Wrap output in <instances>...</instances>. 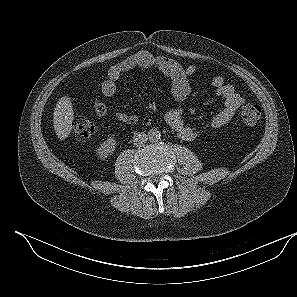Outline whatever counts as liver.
Segmentation results:
<instances>
[{"label":"liver","instance_id":"liver-1","mask_svg":"<svg viewBox=\"0 0 297 297\" xmlns=\"http://www.w3.org/2000/svg\"><path fill=\"white\" fill-rule=\"evenodd\" d=\"M53 116L56 135L60 140L66 139L72 131V122L74 120V110L70 97L64 96L59 99Z\"/></svg>","mask_w":297,"mask_h":297}]
</instances>
